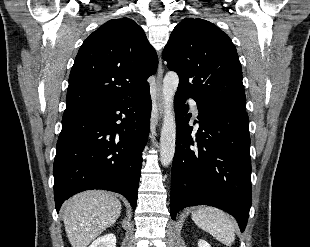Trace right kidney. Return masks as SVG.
Instances as JSON below:
<instances>
[{"mask_svg":"<svg viewBox=\"0 0 310 247\" xmlns=\"http://www.w3.org/2000/svg\"><path fill=\"white\" fill-rule=\"evenodd\" d=\"M89 247H116V236L112 233L101 236L94 240Z\"/></svg>","mask_w":310,"mask_h":247,"instance_id":"right-kidney-1","label":"right kidney"}]
</instances>
